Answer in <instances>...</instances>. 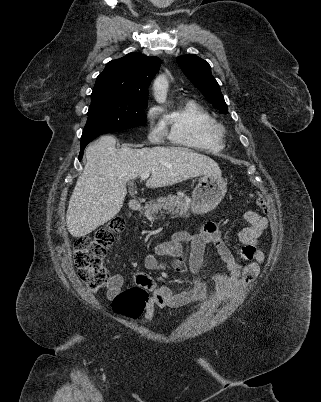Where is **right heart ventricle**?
Masks as SVG:
<instances>
[{
	"label": "right heart ventricle",
	"instance_id": "obj_1",
	"mask_svg": "<svg viewBox=\"0 0 321 402\" xmlns=\"http://www.w3.org/2000/svg\"><path fill=\"white\" fill-rule=\"evenodd\" d=\"M213 116L197 101L187 100L164 116L160 129L171 144L182 148L219 152L224 147L221 134L216 131Z\"/></svg>",
	"mask_w": 321,
	"mask_h": 402
}]
</instances>
